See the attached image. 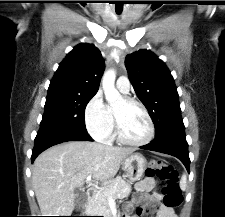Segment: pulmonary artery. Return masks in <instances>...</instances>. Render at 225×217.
Masks as SVG:
<instances>
[{
  "instance_id": "pulmonary-artery-1",
  "label": "pulmonary artery",
  "mask_w": 225,
  "mask_h": 217,
  "mask_svg": "<svg viewBox=\"0 0 225 217\" xmlns=\"http://www.w3.org/2000/svg\"><path fill=\"white\" fill-rule=\"evenodd\" d=\"M116 86L122 93H128L130 90V82L125 76H121L117 79Z\"/></svg>"
}]
</instances>
